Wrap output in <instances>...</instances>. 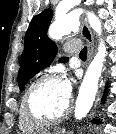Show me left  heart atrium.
<instances>
[{
	"mask_svg": "<svg viewBox=\"0 0 116 134\" xmlns=\"http://www.w3.org/2000/svg\"><path fill=\"white\" fill-rule=\"evenodd\" d=\"M59 84L64 97L70 101L73 89L71 79L68 76H63L59 79Z\"/></svg>",
	"mask_w": 116,
	"mask_h": 134,
	"instance_id": "obj_1",
	"label": "left heart atrium"
}]
</instances>
